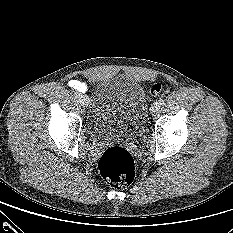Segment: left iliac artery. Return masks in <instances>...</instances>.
Segmentation results:
<instances>
[{"instance_id": "left-iliac-artery-1", "label": "left iliac artery", "mask_w": 233, "mask_h": 233, "mask_svg": "<svg viewBox=\"0 0 233 233\" xmlns=\"http://www.w3.org/2000/svg\"><path fill=\"white\" fill-rule=\"evenodd\" d=\"M164 102H165V98L163 96H161L159 98V103L162 105V104H164Z\"/></svg>"}]
</instances>
